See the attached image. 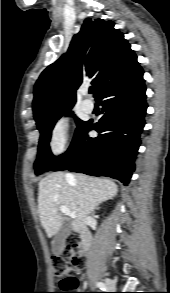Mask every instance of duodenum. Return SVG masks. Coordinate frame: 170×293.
Returning a JSON list of instances; mask_svg holds the SVG:
<instances>
[{"instance_id":"1","label":"duodenum","mask_w":170,"mask_h":293,"mask_svg":"<svg viewBox=\"0 0 170 293\" xmlns=\"http://www.w3.org/2000/svg\"><path fill=\"white\" fill-rule=\"evenodd\" d=\"M79 236L81 238L82 245H83L82 254L84 256H87L89 253V248H90L91 242H92L91 232L88 230H80Z\"/></svg>"}]
</instances>
